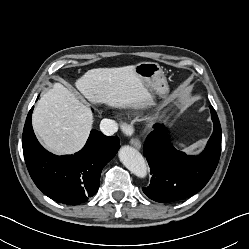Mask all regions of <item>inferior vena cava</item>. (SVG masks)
I'll use <instances>...</instances> for the list:
<instances>
[{
    "instance_id": "1",
    "label": "inferior vena cava",
    "mask_w": 249,
    "mask_h": 249,
    "mask_svg": "<svg viewBox=\"0 0 249 249\" xmlns=\"http://www.w3.org/2000/svg\"><path fill=\"white\" fill-rule=\"evenodd\" d=\"M118 126L114 120L103 119L100 123V130L107 136H111L117 132Z\"/></svg>"
}]
</instances>
